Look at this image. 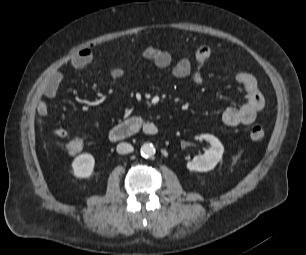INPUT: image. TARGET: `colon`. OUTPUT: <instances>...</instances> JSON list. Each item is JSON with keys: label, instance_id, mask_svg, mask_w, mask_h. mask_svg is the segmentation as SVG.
<instances>
[{"label": "colon", "instance_id": "1", "mask_svg": "<svg viewBox=\"0 0 306 255\" xmlns=\"http://www.w3.org/2000/svg\"><path fill=\"white\" fill-rule=\"evenodd\" d=\"M265 136V130L260 125H255L250 130V137L253 140H261ZM84 146V141L82 138L77 137L69 141L66 145V150L70 155L78 154Z\"/></svg>", "mask_w": 306, "mask_h": 255}]
</instances>
